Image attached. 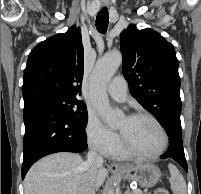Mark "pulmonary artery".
Masks as SVG:
<instances>
[{
	"label": "pulmonary artery",
	"mask_w": 201,
	"mask_h": 194,
	"mask_svg": "<svg viewBox=\"0 0 201 194\" xmlns=\"http://www.w3.org/2000/svg\"><path fill=\"white\" fill-rule=\"evenodd\" d=\"M108 94L116 101H124L127 97V82L123 76H116L107 87Z\"/></svg>",
	"instance_id": "pulmonary-artery-1"
}]
</instances>
